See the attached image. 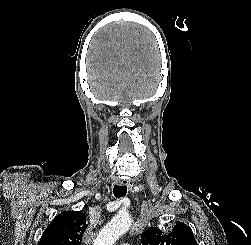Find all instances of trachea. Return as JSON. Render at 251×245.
<instances>
[{"mask_svg":"<svg viewBox=\"0 0 251 245\" xmlns=\"http://www.w3.org/2000/svg\"><path fill=\"white\" fill-rule=\"evenodd\" d=\"M114 196L116 198H121L127 193V186L115 185L113 189Z\"/></svg>","mask_w":251,"mask_h":245,"instance_id":"trachea-1","label":"trachea"}]
</instances>
